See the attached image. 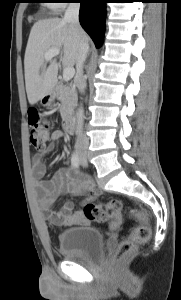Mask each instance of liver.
<instances>
[{
    "mask_svg": "<svg viewBox=\"0 0 181 300\" xmlns=\"http://www.w3.org/2000/svg\"><path fill=\"white\" fill-rule=\"evenodd\" d=\"M79 40L88 42L86 33L80 26L75 27L63 19H43L33 25L24 57L26 92L31 105L54 90L58 82L57 60L51 59L46 67L45 53L62 48V64L73 67L79 56Z\"/></svg>",
    "mask_w": 181,
    "mask_h": 300,
    "instance_id": "liver-1",
    "label": "liver"
}]
</instances>
